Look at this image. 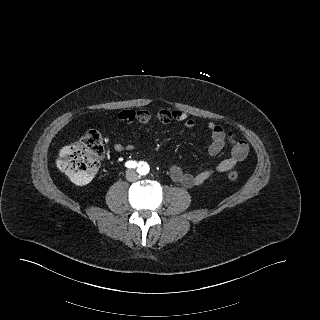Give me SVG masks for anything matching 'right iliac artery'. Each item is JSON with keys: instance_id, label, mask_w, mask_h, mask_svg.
Segmentation results:
<instances>
[{"instance_id": "right-iliac-artery-1", "label": "right iliac artery", "mask_w": 320, "mask_h": 320, "mask_svg": "<svg viewBox=\"0 0 320 320\" xmlns=\"http://www.w3.org/2000/svg\"><path fill=\"white\" fill-rule=\"evenodd\" d=\"M137 165H138L137 162L132 161V160H129V161H127V162L125 163V166H126L127 168H136Z\"/></svg>"}]
</instances>
